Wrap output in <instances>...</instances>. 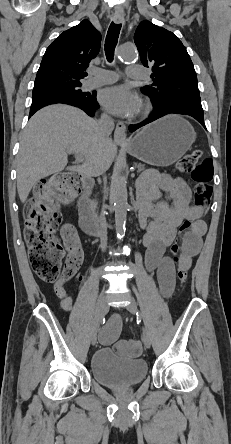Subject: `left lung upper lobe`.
Listing matches in <instances>:
<instances>
[{"label":"left lung upper lobe","instance_id":"1","mask_svg":"<svg viewBox=\"0 0 231 444\" xmlns=\"http://www.w3.org/2000/svg\"><path fill=\"white\" fill-rule=\"evenodd\" d=\"M134 42L143 65L152 67L153 84L142 91L151 96L156 109L203 110L193 63L174 33L145 20L137 27Z\"/></svg>","mask_w":231,"mask_h":444}]
</instances>
